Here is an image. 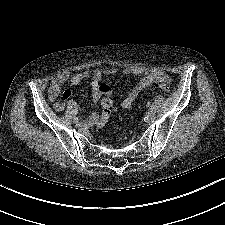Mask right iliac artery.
Masks as SVG:
<instances>
[{
	"mask_svg": "<svg viewBox=\"0 0 225 225\" xmlns=\"http://www.w3.org/2000/svg\"><path fill=\"white\" fill-rule=\"evenodd\" d=\"M75 121H78V118H74Z\"/></svg>",
	"mask_w": 225,
	"mask_h": 225,
	"instance_id": "82829eb1",
	"label": "right iliac artery"
}]
</instances>
